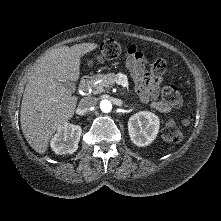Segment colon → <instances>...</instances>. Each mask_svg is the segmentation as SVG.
I'll return each instance as SVG.
<instances>
[{"label": "colon", "mask_w": 221, "mask_h": 221, "mask_svg": "<svg viewBox=\"0 0 221 221\" xmlns=\"http://www.w3.org/2000/svg\"><path fill=\"white\" fill-rule=\"evenodd\" d=\"M121 51L122 45L120 43L114 40H107L100 48L99 53L95 57L89 59V63H103L113 60L120 55ZM165 70L166 63L164 59L158 58L152 63L148 75L150 78H159ZM162 98L164 102L172 107L179 108L183 105L182 95L175 86H165L162 89ZM188 123V119L183 121L184 126H187ZM162 135L167 141L179 142L183 138V131L175 120L169 119L163 128Z\"/></svg>", "instance_id": "1"}]
</instances>
